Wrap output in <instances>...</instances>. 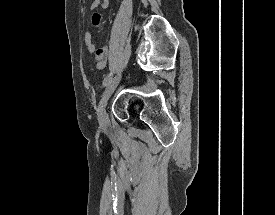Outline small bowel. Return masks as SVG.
<instances>
[{
	"instance_id": "small-bowel-1",
	"label": "small bowel",
	"mask_w": 275,
	"mask_h": 215,
	"mask_svg": "<svg viewBox=\"0 0 275 215\" xmlns=\"http://www.w3.org/2000/svg\"><path fill=\"white\" fill-rule=\"evenodd\" d=\"M109 0H94L90 5V10L98 8L105 9L108 6ZM84 42L89 53L93 54L96 50V45L92 40L91 33L87 31L84 36ZM106 66V60H99L96 64L97 69H103Z\"/></svg>"
}]
</instances>
